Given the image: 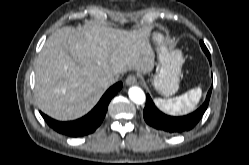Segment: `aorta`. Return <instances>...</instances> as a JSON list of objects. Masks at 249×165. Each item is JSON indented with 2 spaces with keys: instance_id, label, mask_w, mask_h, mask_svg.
<instances>
[{
  "instance_id": "aorta-1",
  "label": "aorta",
  "mask_w": 249,
  "mask_h": 165,
  "mask_svg": "<svg viewBox=\"0 0 249 165\" xmlns=\"http://www.w3.org/2000/svg\"><path fill=\"white\" fill-rule=\"evenodd\" d=\"M128 95L135 104H143L145 102V93L140 87H130Z\"/></svg>"
}]
</instances>
